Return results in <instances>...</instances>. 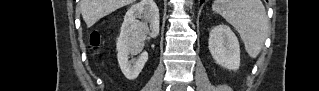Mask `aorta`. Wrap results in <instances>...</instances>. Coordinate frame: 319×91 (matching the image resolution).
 I'll use <instances>...</instances> for the list:
<instances>
[{"label": "aorta", "instance_id": "obj_1", "mask_svg": "<svg viewBox=\"0 0 319 91\" xmlns=\"http://www.w3.org/2000/svg\"><path fill=\"white\" fill-rule=\"evenodd\" d=\"M192 2H193L192 0H189V1H188L189 4H191Z\"/></svg>", "mask_w": 319, "mask_h": 91}]
</instances>
